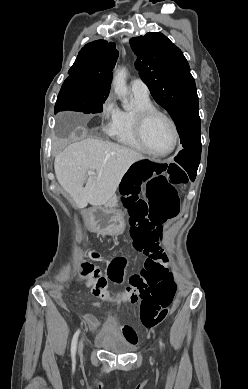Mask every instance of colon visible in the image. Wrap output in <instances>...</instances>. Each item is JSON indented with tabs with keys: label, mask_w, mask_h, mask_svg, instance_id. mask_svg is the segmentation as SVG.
<instances>
[{
	"label": "colon",
	"mask_w": 248,
	"mask_h": 389,
	"mask_svg": "<svg viewBox=\"0 0 248 389\" xmlns=\"http://www.w3.org/2000/svg\"><path fill=\"white\" fill-rule=\"evenodd\" d=\"M145 182L147 187L142 185ZM186 182L185 172L177 161H151L150 157H139L132 161L126 175L122 176L121 191L118 196L131 218L130 236L135 251L147 256L144 266L128 278V287L115 296L117 302L141 300L140 321L151 329L161 323L169 313L177 285L167 267V256L160 246L163 224L177 216L179 202L177 186ZM147 190V196L141 192ZM126 200V201H125ZM97 258V255H94ZM128 260L125 257L113 259L108 266L109 277L122 282ZM82 276L97 280L95 294L110 299L106 291V277L91 263L81 267Z\"/></svg>",
	"instance_id": "obj_1"
}]
</instances>
